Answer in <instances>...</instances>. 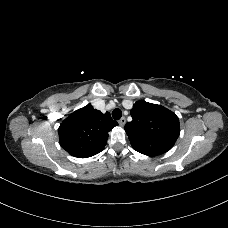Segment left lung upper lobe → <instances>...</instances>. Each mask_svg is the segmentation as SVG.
<instances>
[{"label":"left lung upper lobe","instance_id":"obj_1","mask_svg":"<svg viewBox=\"0 0 228 228\" xmlns=\"http://www.w3.org/2000/svg\"><path fill=\"white\" fill-rule=\"evenodd\" d=\"M133 120L124 127L132 147L148 156L169 151L179 137L175 113L157 104L137 101L131 110Z\"/></svg>","mask_w":228,"mask_h":228}]
</instances>
